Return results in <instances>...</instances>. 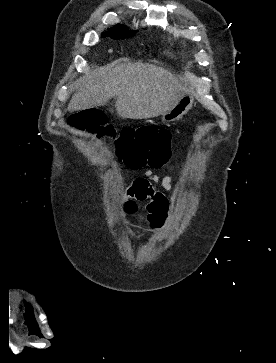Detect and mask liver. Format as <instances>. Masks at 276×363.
I'll return each instance as SVG.
<instances>
[{
  "mask_svg": "<svg viewBox=\"0 0 276 363\" xmlns=\"http://www.w3.org/2000/svg\"><path fill=\"white\" fill-rule=\"evenodd\" d=\"M68 110L79 111L105 104L116 97L122 118L147 119L162 115L185 94L171 72L149 64L116 61L94 80L81 78Z\"/></svg>",
  "mask_w": 276,
  "mask_h": 363,
  "instance_id": "6515ba94",
  "label": "liver"
}]
</instances>
